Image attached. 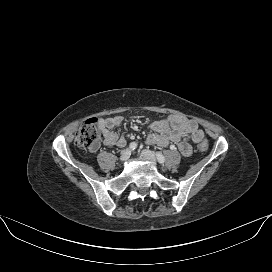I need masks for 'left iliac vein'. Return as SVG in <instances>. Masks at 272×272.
Here are the masks:
<instances>
[{
	"label": "left iliac vein",
	"mask_w": 272,
	"mask_h": 272,
	"mask_svg": "<svg viewBox=\"0 0 272 272\" xmlns=\"http://www.w3.org/2000/svg\"><path fill=\"white\" fill-rule=\"evenodd\" d=\"M141 155L144 159L151 161L152 163L156 164V157L155 154L150 150H143Z\"/></svg>",
	"instance_id": "left-iliac-vein-1"
}]
</instances>
